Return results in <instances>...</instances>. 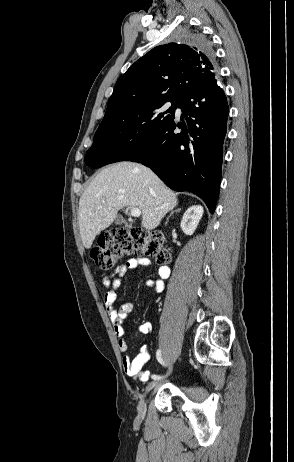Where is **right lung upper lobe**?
<instances>
[{
	"instance_id": "cb5924a9",
	"label": "right lung upper lobe",
	"mask_w": 294,
	"mask_h": 462,
	"mask_svg": "<svg viewBox=\"0 0 294 462\" xmlns=\"http://www.w3.org/2000/svg\"><path fill=\"white\" fill-rule=\"evenodd\" d=\"M217 76L213 51L180 43L160 45L117 81L105 116L148 99L180 96Z\"/></svg>"
}]
</instances>
